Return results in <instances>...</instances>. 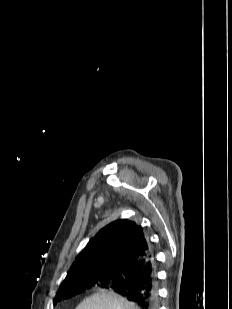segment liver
I'll return each instance as SVG.
<instances>
[{"instance_id": "6515ba94", "label": "liver", "mask_w": 232, "mask_h": 309, "mask_svg": "<svg viewBox=\"0 0 232 309\" xmlns=\"http://www.w3.org/2000/svg\"><path fill=\"white\" fill-rule=\"evenodd\" d=\"M76 309H139L134 303L127 301L125 298L100 290L92 296L82 301Z\"/></svg>"}]
</instances>
